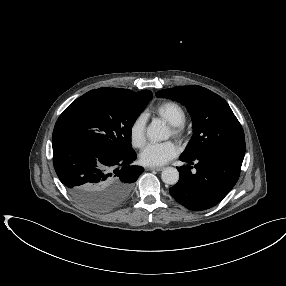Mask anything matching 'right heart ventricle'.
I'll list each match as a JSON object with an SVG mask.
<instances>
[{
    "instance_id": "obj_1",
    "label": "right heart ventricle",
    "mask_w": 286,
    "mask_h": 286,
    "mask_svg": "<svg viewBox=\"0 0 286 286\" xmlns=\"http://www.w3.org/2000/svg\"><path fill=\"white\" fill-rule=\"evenodd\" d=\"M151 112L164 119L170 125H184L187 120L185 109L173 101L162 102L156 105Z\"/></svg>"
}]
</instances>
